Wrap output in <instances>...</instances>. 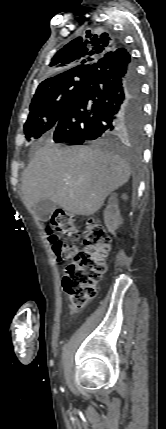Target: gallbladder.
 Segmentation results:
<instances>
[{
  "mask_svg": "<svg viewBox=\"0 0 166 429\" xmlns=\"http://www.w3.org/2000/svg\"><path fill=\"white\" fill-rule=\"evenodd\" d=\"M56 208L57 204L49 199H42L34 205L35 214L42 222H46Z\"/></svg>",
  "mask_w": 166,
  "mask_h": 429,
  "instance_id": "gallbladder-1",
  "label": "gallbladder"
}]
</instances>
